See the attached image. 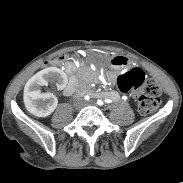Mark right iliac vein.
I'll list each match as a JSON object with an SVG mask.
<instances>
[{
  "label": "right iliac vein",
  "instance_id": "obj_1",
  "mask_svg": "<svg viewBox=\"0 0 183 183\" xmlns=\"http://www.w3.org/2000/svg\"><path fill=\"white\" fill-rule=\"evenodd\" d=\"M82 106H83V102H82L80 99H78V100L75 101L74 107H75L76 109H81Z\"/></svg>",
  "mask_w": 183,
  "mask_h": 183
}]
</instances>
